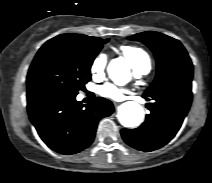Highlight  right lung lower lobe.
Instances as JSON below:
<instances>
[{
    "label": "right lung lower lobe",
    "mask_w": 212,
    "mask_h": 183,
    "mask_svg": "<svg viewBox=\"0 0 212 183\" xmlns=\"http://www.w3.org/2000/svg\"><path fill=\"white\" fill-rule=\"evenodd\" d=\"M75 97L60 91L27 93L29 118L39 136L49 148L65 155L90 146L99 120L114 111L107 99L95 97L90 104L82 105Z\"/></svg>",
    "instance_id": "1"
}]
</instances>
